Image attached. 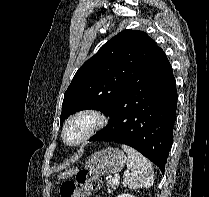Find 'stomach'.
Segmentation results:
<instances>
[{"instance_id":"obj_1","label":"stomach","mask_w":209,"mask_h":197,"mask_svg":"<svg viewBox=\"0 0 209 197\" xmlns=\"http://www.w3.org/2000/svg\"><path fill=\"white\" fill-rule=\"evenodd\" d=\"M126 162V157L117 148L108 147L104 150L93 153L85 163V168L90 173L100 176L114 174L122 170ZM78 169L69 168L58 175L59 179H67L73 176Z\"/></svg>"}]
</instances>
